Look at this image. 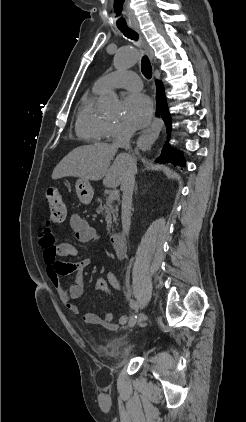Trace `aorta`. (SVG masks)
<instances>
[{"label":"aorta","instance_id":"1","mask_svg":"<svg viewBox=\"0 0 246 422\" xmlns=\"http://www.w3.org/2000/svg\"><path fill=\"white\" fill-rule=\"evenodd\" d=\"M138 60V52L134 47H122L114 56V66L117 69H126L134 65ZM103 111L108 115H118L120 106L117 97L110 92L103 97Z\"/></svg>","mask_w":246,"mask_h":422}]
</instances>
